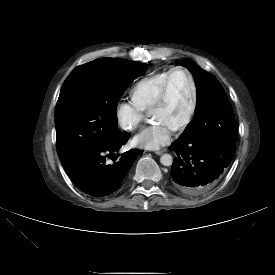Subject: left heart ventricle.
Here are the masks:
<instances>
[{
	"label": "left heart ventricle",
	"instance_id": "obj_1",
	"mask_svg": "<svg viewBox=\"0 0 275 275\" xmlns=\"http://www.w3.org/2000/svg\"><path fill=\"white\" fill-rule=\"evenodd\" d=\"M191 101L192 91L187 75L181 71L175 72L170 79L166 103L151 111V118L175 129L186 118Z\"/></svg>",
	"mask_w": 275,
	"mask_h": 275
}]
</instances>
